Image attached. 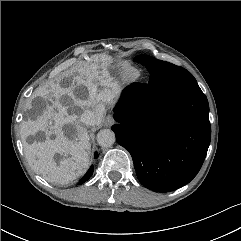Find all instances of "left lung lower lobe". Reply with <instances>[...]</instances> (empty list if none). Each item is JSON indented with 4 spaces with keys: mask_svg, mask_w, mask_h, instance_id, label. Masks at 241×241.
<instances>
[{
    "mask_svg": "<svg viewBox=\"0 0 241 241\" xmlns=\"http://www.w3.org/2000/svg\"><path fill=\"white\" fill-rule=\"evenodd\" d=\"M117 142L132 156L147 188L169 192L199 172L211 140L209 105L199 86L173 95L166 78L127 86L114 109Z\"/></svg>",
    "mask_w": 241,
    "mask_h": 241,
    "instance_id": "0a47b994",
    "label": "left lung lower lobe"
}]
</instances>
